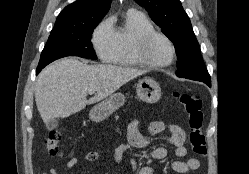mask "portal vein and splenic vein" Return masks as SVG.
Masks as SVG:
<instances>
[{
	"instance_id": "1",
	"label": "portal vein and splenic vein",
	"mask_w": 249,
	"mask_h": 174,
	"mask_svg": "<svg viewBox=\"0 0 249 174\" xmlns=\"http://www.w3.org/2000/svg\"><path fill=\"white\" fill-rule=\"evenodd\" d=\"M95 91H90L89 94H93Z\"/></svg>"
}]
</instances>
